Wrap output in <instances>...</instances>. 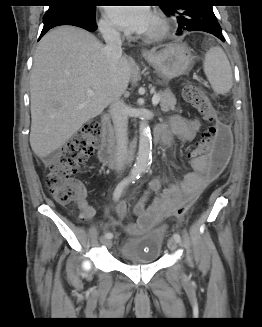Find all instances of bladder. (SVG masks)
<instances>
[{
    "label": "bladder",
    "mask_w": 262,
    "mask_h": 327,
    "mask_svg": "<svg viewBox=\"0 0 262 327\" xmlns=\"http://www.w3.org/2000/svg\"><path fill=\"white\" fill-rule=\"evenodd\" d=\"M164 240V233L158 230L132 233L120 246L119 256L127 263H155L160 259Z\"/></svg>",
    "instance_id": "bladder-1"
}]
</instances>
